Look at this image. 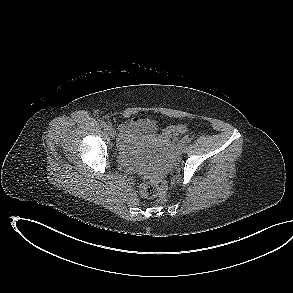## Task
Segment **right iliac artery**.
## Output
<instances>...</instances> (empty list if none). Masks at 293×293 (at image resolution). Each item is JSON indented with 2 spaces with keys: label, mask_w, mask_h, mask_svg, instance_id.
Here are the masks:
<instances>
[{
  "label": "right iliac artery",
  "mask_w": 293,
  "mask_h": 293,
  "mask_svg": "<svg viewBox=\"0 0 293 293\" xmlns=\"http://www.w3.org/2000/svg\"><path fill=\"white\" fill-rule=\"evenodd\" d=\"M100 125H101V127H103V128L108 127L107 124H106L104 121H101V122H100Z\"/></svg>",
  "instance_id": "obj_1"
}]
</instances>
